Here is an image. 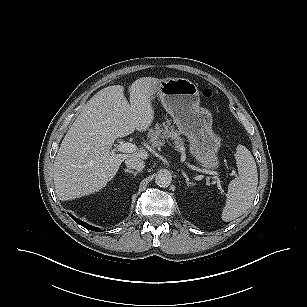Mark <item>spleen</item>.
I'll return each mask as SVG.
<instances>
[{
	"label": "spleen",
	"mask_w": 307,
	"mask_h": 307,
	"mask_svg": "<svg viewBox=\"0 0 307 307\" xmlns=\"http://www.w3.org/2000/svg\"><path fill=\"white\" fill-rule=\"evenodd\" d=\"M235 158L238 177L228 186L226 204L222 212V220L225 222L241 216L250 208L258 185L257 167L251 152L245 146L238 145Z\"/></svg>",
	"instance_id": "obj_1"
}]
</instances>
